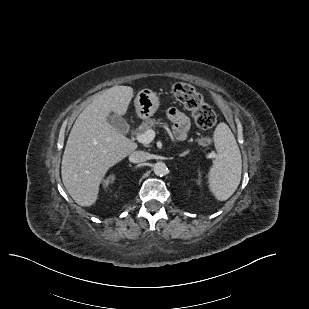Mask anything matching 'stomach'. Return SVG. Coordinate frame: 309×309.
<instances>
[{"label": "stomach", "mask_w": 309, "mask_h": 309, "mask_svg": "<svg viewBox=\"0 0 309 309\" xmlns=\"http://www.w3.org/2000/svg\"><path fill=\"white\" fill-rule=\"evenodd\" d=\"M134 105L137 115L142 119H148L158 110L160 102L152 90L142 89L136 95Z\"/></svg>", "instance_id": "obj_1"}]
</instances>
